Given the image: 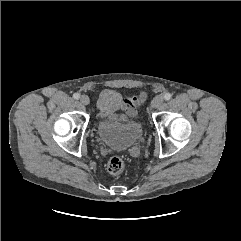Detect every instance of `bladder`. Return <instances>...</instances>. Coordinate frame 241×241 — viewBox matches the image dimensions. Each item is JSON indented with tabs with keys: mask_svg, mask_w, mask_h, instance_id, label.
Here are the masks:
<instances>
[{
	"mask_svg": "<svg viewBox=\"0 0 241 241\" xmlns=\"http://www.w3.org/2000/svg\"><path fill=\"white\" fill-rule=\"evenodd\" d=\"M100 140L115 150H127L135 146L143 135V126L139 120L127 123L111 122L101 119L97 125Z\"/></svg>",
	"mask_w": 241,
	"mask_h": 241,
	"instance_id": "bladder-1",
	"label": "bladder"
}]
</instances>
